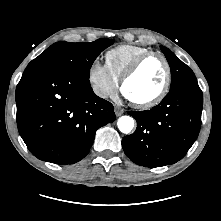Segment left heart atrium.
<instances>
[{"label":"left heart atrium","instance_id":"left-heart-atrium-1","mask_svg":"<svg viewBox=\"0 0 221 221\" xmlns=\"http://www.w3.org/2000/svg\"><path fill=\"white\" fill-rule=\"evenodd\" d=\"M124 96L128 99V97L126 96V94H124Z\"/></svg>","mask_w":221,"mask_h":221}]
</instances>
